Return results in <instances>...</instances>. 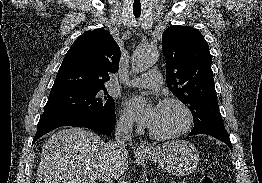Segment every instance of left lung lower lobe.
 <instances>
[{
  "label": "left lung lower lobe",
  "instance_id": "obj_1",
  "mask_svg": "<svg viewBox=\"0 0 262 183\" xmlns=\"http://www.w3.org/2000/svg\"><path fill=\"white\" fill-rule=\"evenodd\" d=\"M197 134H207V135L213 136L219 139L220 141L226 143L230 147V149H232V144L230 142L229 135L225 129L212 128V129H205V130L195 131V132L191 131L190 133V135H197Z\"/></svg>",
  "mask_w": 262,
  "mask_h": 183
}]
</instances>
